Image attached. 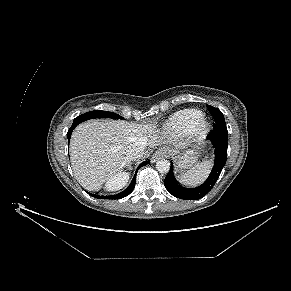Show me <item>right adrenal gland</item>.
<instances>
[{
  "mask_svg": "<svg viewBox=\"0 0 291 291\" xmlns=\"http://www.w3.org/2000/svg\"><path fill=\"white\" fill-rule=\"evenodd\" d=\"M128 167H129V168H131V163H130V164H128Z\"/></svg>",
  "mask_w": 291,
  "mask_h": 291,
  "instance_id": "2a0ac1e0",
  "label": "right adrenal gland"
}]
</instances>
